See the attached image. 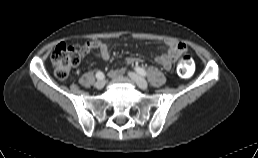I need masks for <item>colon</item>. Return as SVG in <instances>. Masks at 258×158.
<instances>
[{
  "mask_svg": "<svg viewBox=\"0 0 258 158\" xmlns=\"http://www.w3.org/2000/svg\"><path fill=\"white\" fill-rule=\"evenodd\" d=\"M89 51V47L83 45L76 47L66 43H60L51 55V63L55 75L60 79L69 76L73 67L77 66L81 58ZM193 71V60L189 55H183L179 65L178 73L182 77H189Z\"/></svg>",
  "mask_w": 258,
  "mask_h": 158,
  "instance_id": "colon-1",
  "label": "colon"
}]
</instances>
